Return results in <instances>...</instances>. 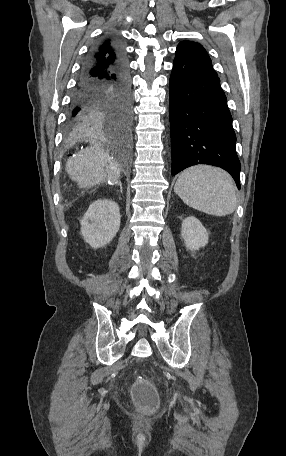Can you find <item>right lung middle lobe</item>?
<instances>
[{
  "mask_svg": "<svg viewBox=\"0 0 286 456\" xmlns=\"http://www.w3.org/2000/svg\"><path fill=\"white\" fill-rule=\"evenodd\" d=\"M100 129H104V130H106V129H105V128H103V127H100ZM125 129H126V127H125V126H120V127H119V129H118V131H119V133H121V134H122V133L125 131ZM130 137H131V132H130V135H129L128 139H123V138H121V139H122V140H123L125 143H127V144H128V143H129V141H130Z\"/></svg>",
  "mask_w": 286,
  "mask_h": 456,
  "instance_id": "dd1d6c3e",
  "label": "right lung middle lobe"
}]
</instances>
